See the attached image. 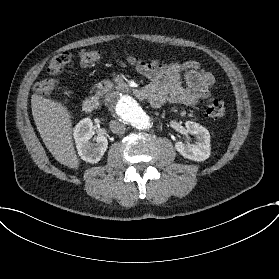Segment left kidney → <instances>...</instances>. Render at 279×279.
<instances>
[{"label": "left kidney", "mask_w": 279, "mask_h": 279, "mask_svg": "<svg viewBox=\"0 0 279 279\" xmlns=\"http://www.w3.org/2000/svg\"><path fill=\"white\" fill-rule=\"evenodd\" d=\"M185 127L188 133L196 137V142L194 144L176 142L175 149L184 158L198 162L205 161L209 158L211 152L209 131L193 121H186Z\"/></svg>", "instance_id": "1"}]
</instances>
